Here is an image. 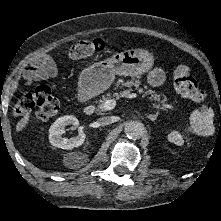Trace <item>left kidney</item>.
<instances>
[{
    "mask_svg": "<svg viewBox=\"0 0 221 221\" xmlns=\"http://www.w3.org/2000/svg\"><path fill=\"white\" fill-rule=\"evenodd\" d=\"M168 140L176 145L184 144L183 137L177 131H172L168 134Z\"/></svg>",
    "mask_w": 221,
    "mask_h": 221,
    "instance_id": "1",
    "label": "left kidney"
}]
</instances>
